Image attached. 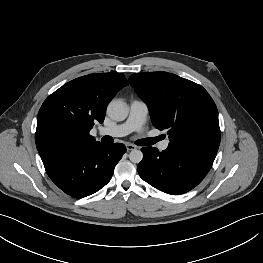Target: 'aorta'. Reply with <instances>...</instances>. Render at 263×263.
<instances>
[{
    "mask_svg": "<svg viewBox=\"0 0 263 263\" xmlns=\"http://www.w3.org/2000/svg\"><path fill=\"white\" fill-rule=\"evenodd\" d=\"M108 116L115 121H123L128 116V108L122 100H112L107 106ZM129 159L133 163H140L143 159L141 150L134 149L129 153Z\"/></svg>",
    "mask_w": 263,
    "mask_h": 263,
    "instance_id": "aorta-1",
    "label": "aorta"
}]
</instances>
